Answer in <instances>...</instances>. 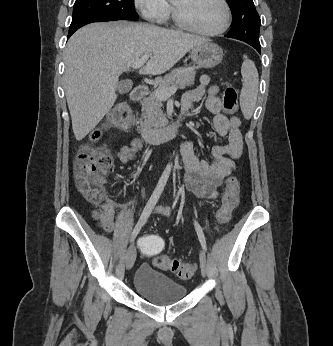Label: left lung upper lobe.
<instances>
[{"label": "left lung upper lobe", "mask_w": 333, "mask_h": 346, "mask_svg": "<svg viewBox=\"0 0 333 346\" xmlns=\"http://www.w3.org/2000/svg\"><path fill=\"white\" fill-rule=\"evenodd\" d=\"M227 2L233 14V26L227 37L259 43L261 21L253 0H227Z\"/></svg>", "instance_id": "left-lung-upper-lobe-1"}]
</instances>
